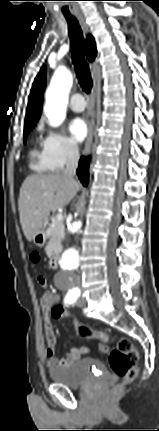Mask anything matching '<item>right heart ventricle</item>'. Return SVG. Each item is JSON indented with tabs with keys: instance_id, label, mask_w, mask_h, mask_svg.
<instances>
[{
	"instance_id": "obj_1",
	"label": "right heart ventricle",
	"mask_w": 159,
	"mask_h": 431,
	"mask_svg": "<svg viewBox=\"0 0 159 431\" xmlns=\"http://www.w3.org/2000/svg\"><path fill=\"white\" fill-rule=\"evenodd\" d=\"M30 167L37 172H45L49 169L47 168L43 157L42 152H39L37 149L33 148L30 151Z\"/></svg>"
}]
</instances>
